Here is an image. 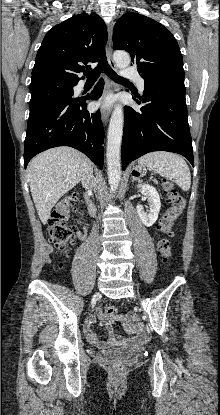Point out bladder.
Here are the masks:
<instances>
[{
    "mask_svg": "<svg viewBox=\"0 0 220 415\" xmlns=\"http://www.w3.org/2000/svg\"><path fill=\"white\" fill-rule=\"evenodd\" d=\"M145 350V346H133V347H122L113 348L105 352L106 356L113 359H129L142 353Z\"/></svg>",
    "mask_w": 220,
    "mask_h": 415,
    "instance_id": "31cf9c89",
    "label": "bladder"
}]
</instances>
